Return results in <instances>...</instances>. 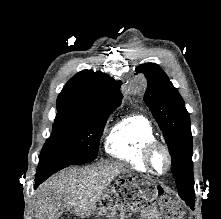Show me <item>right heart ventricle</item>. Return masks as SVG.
Returning <instances> with one entry per match:
<instances>
[{"label": "right heart ventricle", "instance_id": "e07e8e85", "mask_svg": "<svg viewBox=\"0 0 221 219\" xmlns=\"http://www.w3.org/2000/svg\"><path fill=\"white\" fill-rule=\"evenodd\" d=\"M156 140L151 121L142 114L130 115L117 123L105 141L107 154L141 172H148L142 152L145 145Z\"/></svg>", "mask_w": 221, "mask_h": 219}]
</instances>
